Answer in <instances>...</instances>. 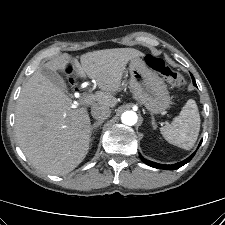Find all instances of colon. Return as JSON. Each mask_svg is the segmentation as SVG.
I'll return each instance as SVG.
<instances>
[{"label":"colon","mask_w":225,"mask_h":225,"mask_svg":"<svg viewBox=\"0 0 225 225\" xmlns=\"http://www.w3.org/2000/svg\"><path fill=\"white\" fill-rule=\"evenodd\" d=\"M146 63L152 70L161 74L172 88H184L185 79L183 75L169 67L163 59L153 55H148L146 57Z\"/></svg>","instance_id":"5ec220e1"}]
</instances>
